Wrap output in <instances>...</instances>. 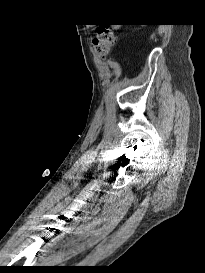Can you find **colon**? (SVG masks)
Instances as JSON below:
<instances>
[{"instance_id": "5ec220e1", "label": "colon", "mask_w": 205, "mask_h": 273, "mask_svg": "<svg viewBox=\"0 0 205 273\" xmlns=\"http://www.w3.org/2000/svg\"><path fill=\"white\" fill-rule=\"evenodd\" d=\"M115 42L112 30L109 26H101L98 28L95 38L92 41V46L95 53L100 58L106 57Z\"/></svg>"}]
</instances>
